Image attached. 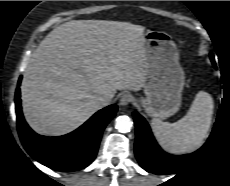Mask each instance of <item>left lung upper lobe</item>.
Masks as SVG:
<instances>
[{"label":"left lung upper lobe","mask_w":230,"mask_h":186,"mask_svg":"<svg viewBox=\"0 0 230 186\" xmlns=\"http://www.w3.org/2000/svg\"><path fill=\"white\" fill-rule=\"evenodd\" d=\"M210 59H211V61H212L213 65L215 66L214 56H213V54H212V53L210 54Z\"/></svg>","instance_id":"5c2ea615"}]
</instances>
